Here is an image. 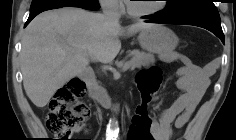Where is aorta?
<instances>
[{"label":"aorta","instance_id":"762f6f07","mask_svg":"<svg viewBox=\"0 0 236 140\" xmlns=\"http://www.w3.org/2000/svg\"><path fill=\"white\" fill-rule=\"evenodd\" d=\"M118 133V123L117 121L113 118L110 120L108 126H107V134L108 136L115 137Z\"/></svg>","mask_w":236,"mask_h":140}]
</instances>
